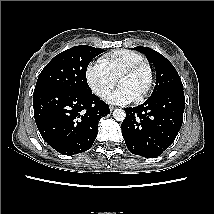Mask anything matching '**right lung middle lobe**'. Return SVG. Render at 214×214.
<instances>
[{
	"label": "right lung middle lobe",
	"instance_id": "dd1d6c3e",
	"mask_svg": "<svg viewBox=\"0 0 214 214\" xmlns=\"http://www.w3.org/2000/svg\"><path fill=\"white\" fill-rule=\"evenodd\" d=\"M103 51L80 45L56 55L40 73L34 93L53 88L91 93L86 80V70L91 60Z\"/></svg>",
	"mask_w": 214,
	"mask_h": 214
}]
</instances>
